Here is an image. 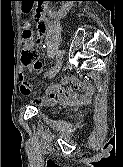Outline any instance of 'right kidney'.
<instances>
[{
    "mask_svg": "<svg viewBox=\"0 0 123 167\" xmlns=\"http://www.w3.org/2000/svg\"><path fill=\"white\" fill-rule=\"evenodd\" d=\"M71 2L67 3L64 5V7H62V10H61V13H60V16L61 17H64L66 16V14L69 12V9L71 8Z\"/></svg>",
    "mask_w": 123,
    "mask_h": 167,
    "instance_id": "obj_1",
    "label": "right kidney"
}]
</instances>
